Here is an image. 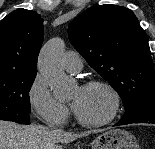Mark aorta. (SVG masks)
<instances>
[{
  "label": "aorta",
  "mask_w": 155,
  "mask_h": 149,
  "mask_svg": "<svg viewBox=\"0 0 155 149\" xmlns=\"http://www.w3.org/2000/svg\"><path fill=\"white\" fill-rule=\"evenodd\" d=\"M64 48L65 43L61 38H53L44 45L38 60L39 72L57 98L68 97L73 88V81L63 69Z\"/></svg>",
  "instance_id": "aorta-1"
}]
</instances>
